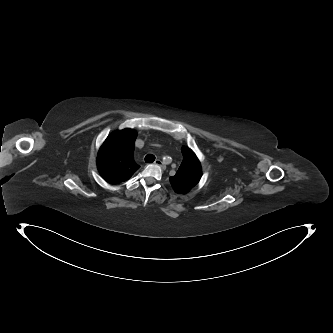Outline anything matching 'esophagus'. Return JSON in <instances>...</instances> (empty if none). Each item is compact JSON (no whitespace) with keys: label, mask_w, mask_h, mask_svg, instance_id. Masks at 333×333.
Masks as SVG:
<instances>
[{"label":"esophagus","mask_w":333,"mask_h":333,"mask_svg":"<svg viewBox=\"0 0 333 333\" xmlns=\"http://www.w3.org/2000/svg\"><path fill=\"white\" fill-rule=\"evenodd\" d=\"M154 164H156V165H158V166H161V167L164 166V165H163V162H162L160 159H156L155 162H154Z\"/></svg>","instance_id":"34e87169"}]
</instances>
